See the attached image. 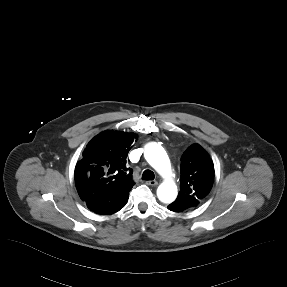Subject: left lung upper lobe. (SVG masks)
Returning <instances> with one entry per match:
<instances>
[{
	"instance_id": "obj_1",
	"label": "left lung upper lobe",
	"mask_w": 287,
	"mask_h": 287,
	"mask_svg": "<svg viewBox=\"0 0 287 287\" xmlns=\"http://www.w3.org/2000/svg\"><path fill=\"white\" fill-rule=\"evenodd\" d=\"M180 192L171 204L178 212L195 207L209 193L214 180V165L198 144L189 146L181 157Z\"/></svg>"
}]
</instances>
